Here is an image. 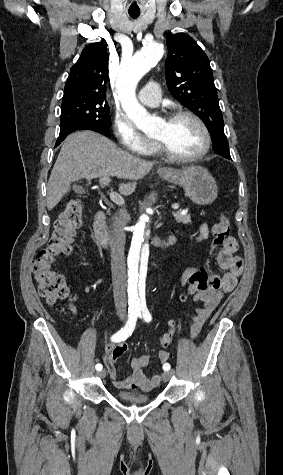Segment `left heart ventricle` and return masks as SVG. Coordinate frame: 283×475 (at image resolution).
Listing matches in <instances>:
<instances>
[{
    "label": "left heart ventricle",
    "instance_id": "1",
    "mask_svg": "<svg viewBox=\"0 0 283 475\" xmlns=\"http://www.w3.org/2000/svg\"><path fill=\"white\" fill-rule=\"evenodd\" d=\"M154 138L163 141L174 156L187 157L200 149L203 132L199 125L188 117L174 120L163 119Z\"/></svg>",
    "mask_w": 283,
    "mask_h": 475
}]
</instances>
